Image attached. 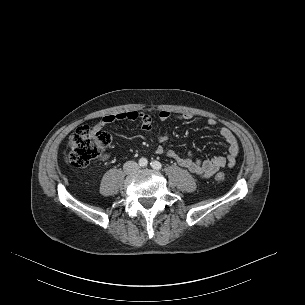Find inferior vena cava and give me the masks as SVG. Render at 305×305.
Here are the masks:
<instances>
[{"mask_svg": "<svg viewBox=\"0 0 305 305\" xmlns=\"http://www.w3.org/2000/svg\"><path fill=\"white\" fill-rule=\"evenodd\" d=\"M138 168H139V165L135 161H127L124 164V170H125V172H128V173L135 172L136 170H138Z\"/></svg>", "mask_w": 305, "mask_h": 305, "instance_id": "1", "label": "inferior vena cava"}]
</instances>
